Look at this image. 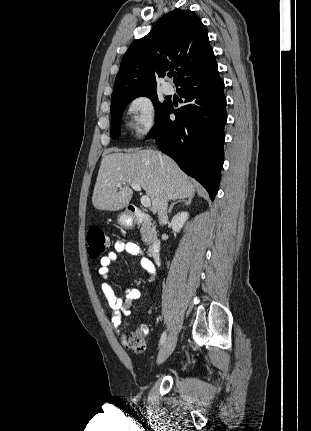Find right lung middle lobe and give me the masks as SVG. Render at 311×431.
Segmentation results:
<instances>
[{
    "label": "right lung middle lobe",
    "mask_w": 311,
    "mask_h": 431,
    "mask_svg": "<svg viewBox=\"0 0 311 431\" xmlns=\"http://www.w3.org/2000/svg\"><path fill=\"white\" fill-rule=\"evenodd\" d=\"M138 96H147V97H150L152 99L154 106H155V111H156L155 117L156 118L160 114H162L170 104L169 101H164L162 103L159 102L155 90L154 91L141 92V93L128 95V96H121V97L111 99V113H112L111 135L113 138L118 137L120 134L119 126L121 123L123 111L126 108L127 103L132 101L133 99H135Z\"/></svg>",
    "instance_id": "right-lung-middle-lobe-1"
}]
</instances>
